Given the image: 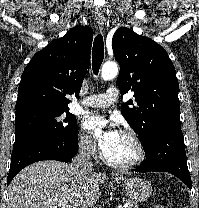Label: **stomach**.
<instances>
[{"label":"stomach","mask_w":199,"mask_h":208,"mask_svg":"<svg viewBox=\"0 0 199 208\" xmlns=\"http://www.w3.org/2000/svg\"><path fill=\"white\" fill-rule=\"evenodd\" d=\"M126 195L133 201L142 202L152 194L151 184L142 178L133 177L124 181Z\"/></svg>","instance_id":"stomach-1"}]
</instances>
